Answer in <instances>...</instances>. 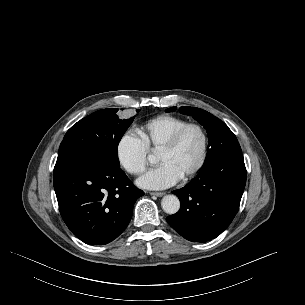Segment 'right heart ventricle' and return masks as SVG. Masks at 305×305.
<instances>
[{"mask_svg": "<svg viewBox=\"0 0 305 305\" xmlns=\"http://www.w3.org/2000/svg\"><path fill=\"white\" fill-rule=\"evenodd\" d=\"M189 121L171 115H160L149 119L138 128V134L149 151L157 152L163 144Z\"/></svg>", "mask_w": 305, "mask_h": 305, "instance_id": "obj_1", "label": "right heart ventricle"}]
</instances>
